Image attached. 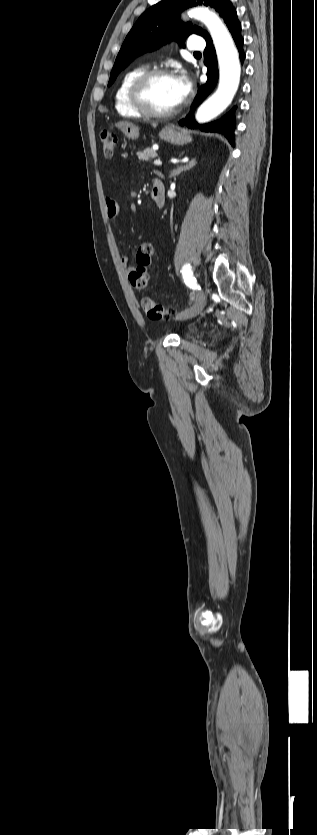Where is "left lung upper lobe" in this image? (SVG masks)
Returning <instances> with one entry per match:
<instances>
[{"label": "left lung upper lobe", "instance_id": "5c2ea615", "mask_svg": "<svg viewBox=\"0 0 317 835\" xmlns=\"http://www.w3.org/2000/svg\"><path fill=\"white\" fill-rule=\"evenodd\" d=\"M229 0H163L150 7L137 20L126 36L115 60L108 86L130 62L141 54L157 49L174 38L183 46L186 37L196 33L206 40L210 35L192 23L180 21V13L192 6L205 5L215 8L224 21L229 15L224 11Z\"/></svg>", "mask_w": 317, "mask_h": 835}]
</instances>
